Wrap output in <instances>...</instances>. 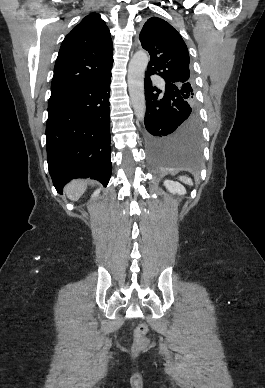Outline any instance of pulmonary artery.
Segmentation results:
<instances>
[{
    "mask_svg": "<svg viewBox=\"0 0 265 388\" xmlns=\"http://www.w3.org/2000/svg\"><path fill=\"white\" fill-rule=\"evenodd\" d=\"M154 77L155 82H162L163 81V76L162 75H152Z\"/></svg>",
    "mask_w": 265,
    "mask_h": 388,
    "instance_id": "e3ab8cb5",
    "label": "pulmonary artery"
}]
</instances>
